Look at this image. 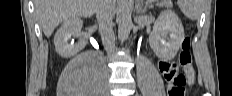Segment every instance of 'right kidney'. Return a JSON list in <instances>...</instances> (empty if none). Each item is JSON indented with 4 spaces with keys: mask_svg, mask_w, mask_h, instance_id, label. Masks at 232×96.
I'll list each match as a JSON object with an SVG mask.
<instances>
[{
    "mask_svg": "<svg viewBox=\"0 0 232 96\" xmlns=\"http://www.w3.org/2000/svg\"><path fill=\"white\" fill-rule=\"evenodd\" d=\"M82 24V20L78 17L69 18L66 19L57 30L54 37V44L57 53L61 57H73L85 47L87 37L81 34ZM72 36H81L82 40L76 44H68V41Z\"/></svg>",
    "mask_w": 232,
    "mask_h": 96,
    "instance_id": "ca27d5eb",
    "label": "right kidney"
}]
</instances>
